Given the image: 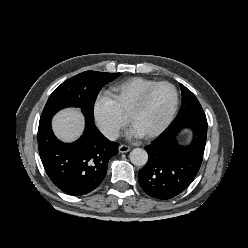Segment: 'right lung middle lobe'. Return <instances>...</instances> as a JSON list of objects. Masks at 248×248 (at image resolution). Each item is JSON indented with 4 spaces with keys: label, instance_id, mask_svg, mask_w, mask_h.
Wrapping results in <instances>:
<instances>
[{
    "label": "right lung middle lobe",
    "instance_id": "right-lung-middle-lobe-1",
    "mask_svg": "<svg viewBox=\"0 0 248 248\" xmlns=\"http://www.w3.org/2000/svg\"><path fill=\"white\" fill-rule=\"evenodd\" d=\"M120 75L121 73L86 71L66 80L50 95L39 123L71 106L81 108L85 118L94 121L93 106L100 89Z\"/></svg>",
    "mask_w": 248,
    "mask_h": 248
}]
</instances>
